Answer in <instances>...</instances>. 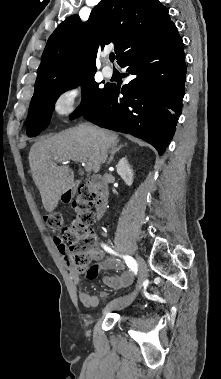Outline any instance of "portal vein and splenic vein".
I'll list each match as a JSON object with an SVG mask.
<instances>
[{"mask_svg":"<svg viewBox=\"0 0 221 379\" xmlns=\"http://www.w3.org/2000/svg\"><path fill=\"white\" fill-rule=\"evenodd\" d=\"M71 160H77V159H71ZM61 162L68 163L69 160H61ZM84 165H85V170L87 172H90L92 170V164L90 162H86V164H84Z\"/></svg>","mask_w":221,"mask_h":379,"instance_id":"1","label":"portal vein and splenic vein"}]
</instances>
